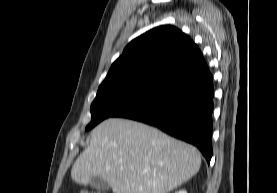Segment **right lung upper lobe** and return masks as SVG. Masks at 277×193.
<instances>
[{"label":"right lung upper lobe","instance_id":"cb5924a9","mask_svg":"<svg viewBox=\"0 0 277 193\" xmlns=\"http://www.w3.org/2000/svg\"><path fill=\"white\" fill-rule=\"evenodd\" d=\"M205 65L190 37L174 26H159L126 46L99 89L131 87L155 91Z\"/></svg>","mask_w":277,"mask_h":193}]
</instances>
